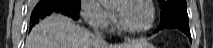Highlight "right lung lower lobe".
Segmentation results:
<instances>
[{"label": "right lung lower lobe", "mask_w": 213, "mask_h": 48, "mask_svg": "<svg viewBox=\"0 0 213 48\" xmlns=\"http://www.w3.org/2000/svg\"><path fill=\"white\" fill-rule=\"evenodd\" d=\"M79 10L80 9L69 4L66 0H41L31 14L30 23L32 25L30 26V30L39 22L40 19L45 18L51 13H62L72 17L73 19H77Z\"/></svg>", "instance_id": "1"}]
</instances>
